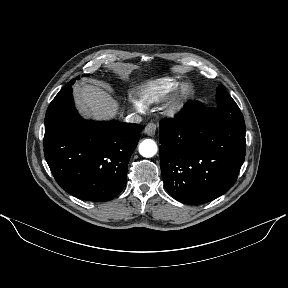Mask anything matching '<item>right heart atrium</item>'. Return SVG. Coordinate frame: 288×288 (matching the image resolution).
Instances as JSON below:
<instances>
[{"label": "right heart atrium", "instance_id": "right-heart-atrium-1", "mask_svg": "<svg viewBox=\"0 0 288 288\" xmlns=\"http://www.w3.org/2000/svg\"><path fill=\"white\" fill-rule=\"evenodd\" d=\"M132 103L134 104V106L138 109V110H142V105L137 102L136 100H132Z\"/></svg>", "mask_w": 288, "mask_h": 288}]
</instances>
